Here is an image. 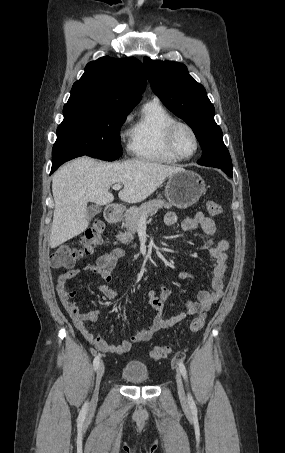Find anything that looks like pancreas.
<instances>
[{
  "label": "pancreas",
  "mask_w": 285,
  "mask_h": 453,
  "mask_svg": "<svg viewBox=\"0 0 285 453\" xmlns=\"http://www.w3.org/2000/svg\"><path fill=\"white\" fill-rule=\"evenodd\" d=\"M172 205L167 203L165 200L160 198L150 200L141 204L139 207H132L124 214V222L122 227L126 228V232H120L116 237L124 244H128L134 239V233L136 232L139 222L142 218L146 219L149 215L155 214L159 209H169Z\"/></svg>",
  "instance_id": "cf45deb5"
}]
</instances>
